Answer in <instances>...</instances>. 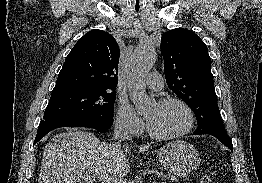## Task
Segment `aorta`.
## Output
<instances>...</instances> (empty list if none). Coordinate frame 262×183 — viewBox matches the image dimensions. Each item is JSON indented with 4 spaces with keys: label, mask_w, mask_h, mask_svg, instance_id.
I'll return each instance as SVG.
<instances>
[{
    "label": "aorta",
    "mask_w": 262,
    "mask_h": 183,
    "mask_svg": "<svg viewBox=\"0 0 262 183\" xmlns=\"http://www.w3.org/2000/svg\"><path fill=\"white\" fill-rule=\"evenodd\" d=\"M156 53L152 47H139L132 54L128 63L129 95L137 111H143L153 104L154 99L146 94L142 77L153 67Z\"/></svg>",
    "instance_id": "aorta-1"
}]
</instances>
